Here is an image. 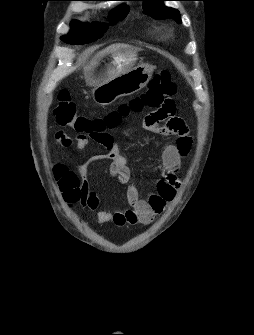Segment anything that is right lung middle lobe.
I'll use <instances>...</instances> for the list:
<instances>
[{
	"label": "right lung middle lobe",
	"instance_id": "dd1d6c3e",
	"mask_svg": "<svg viewBox=\"0 0 254 335\" xmlns=\"http://www.w3.org/2000/svg\"><path fill=\"white\" fill-rule=\"evenodd\" d=\"M127 6H120L113 10L110 15V24L114 25L117 21L123 19L128 14ZM72 30L69 36H63L62 40L67 43H89L95 41L102 36L107 30V25L94 23L93 25H86L79 21H72Z\"/></svg>",
	"mask_w": 254,
	"mask_h": 335
}]
</instances>
